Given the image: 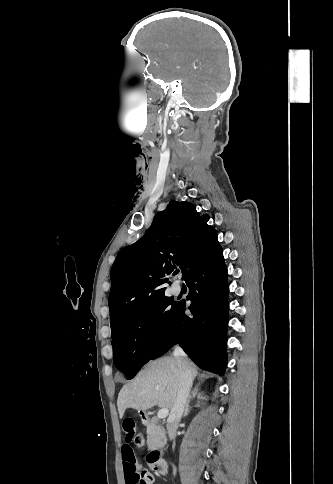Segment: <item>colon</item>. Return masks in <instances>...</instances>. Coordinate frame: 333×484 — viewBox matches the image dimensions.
<instances>
[{"instance_id":"5ec220e1","label":"colon","mask_w":333,"mask_h":484,"mask_svg":"<svg viewBox=\"0 0 333 484\" xmlns=\"http://www.w3.org/2000/svg\"><path fill=\"white\" fill-rule=\"evenodd\" d=\"M133 442L136 446L140 447V446H143L144 444V436L142 433H137L134 438H133Z\"/></svg>"}]
</instances>
